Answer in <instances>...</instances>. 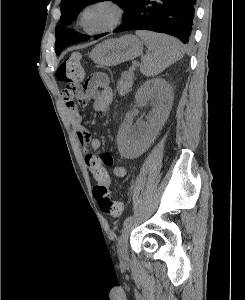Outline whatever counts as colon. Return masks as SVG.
<instances>
[{"mask_svg":"<svg viewBox=\"0 0 245 300\" xmlns=\"http://www.w3.org/2000/svg\"><path fill=\"white\" fill-rule=\"evenodd\" d=\"M58 80L65 84L64 98L71 100L80 92L81 83L84 79V71L78 53L68 55L56 71ZM93 195L100 210L112 216H119L123 212V204L120 201L111 200L109 190L93 189Z\"/></svg>","mask_w":245,"mask_h":300,"instance_id":"5ec220e1","label":"colon"}]
</instances>
